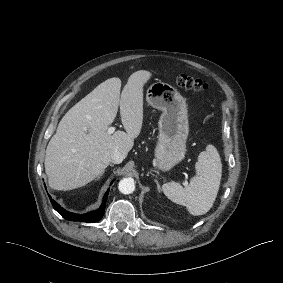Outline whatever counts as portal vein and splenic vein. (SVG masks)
Masks as SVG:
<instances>
[{"label": "portal vein and splenic vein", "mask_w": 283, "mask_h": 283, "mask_svg": "<svg viewBox=\"0 0 283 283\" xmlns=\"http://www.w3.org/2000/svg\"><path fill=\"white\" fill-rule=\"evenodd\" d=\"M114 131H115V127H109L107 132L108 134H113Z\"/></svg>", "instance_id": "obj_1"}]
</instances>
